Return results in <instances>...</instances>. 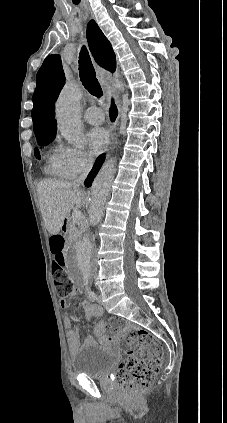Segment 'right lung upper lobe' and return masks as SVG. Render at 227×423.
Wrapping results in <instances>:
<instances>
[{
    "mask_svg": "<svg viewBox=\"0 0 227 423\" xmlns=\"http://www.w3.org/2000/svg\"><path fill=\"white\" fill-rule=\"evenodd\" d=\"M87 41L95 61L103 68L114 72L116 57L110 42L94 21L87 26ZM36 89L32 100V119L37 137L55 135L57 124L54 104L65 84V76L59 55L48 56L36 76Z\"/></svg>",
    "mask_w": 227,
    "mask_h": 423,
    "instance_id": "cb5924a9",
    "label": "right lung upper lobe"
}]
</instances>
